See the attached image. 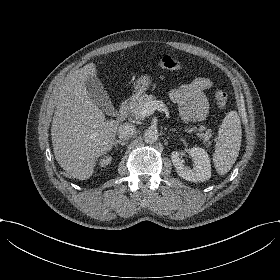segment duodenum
<instances>
[{
    "label": "duodenum",
    "mask_w": 280,
    "mask_h": 280,
    "mask_svg": "<svg viewBox=\"0 0 280 280\" xmlns=\"http://www.w3.org/2000/svg\"><path fill=\"white\" fill-rule=\"evenodd\" d=\"M131 101L130 100H125L123 101L120 106H119V110H118V118L122 119L124 117H126L130 107H131Z\"/></svg>",
    "instance_id": "duodenum-1"
}]
</instances>
